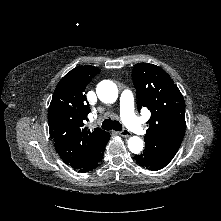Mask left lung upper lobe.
I'll return each mask as SVG.
<instances>
[{
  "label": "left lung upper lobe",
  "mask_w": 221,
  "mask_h": 221,
  "mask_svg": "<svg viewBox=\"0 0 221 221\" xmlns=\"http://www.w3.org/2000/svg\"><path fill=\"white\" fill-rule=\"evenodd\" d=\"M138 110L151 112L144 136L145 152L169 163L185 134V102L178 87L161 67L136 64L132 70Z\"/></svg>",
  "instance_id": "1"
}]
</instances>
